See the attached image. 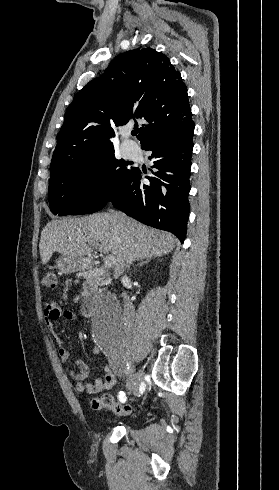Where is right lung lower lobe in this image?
I'll list each match as a JSON object with an SVG mask.
<instances>
[{"mask_svg":"<svg viewBox=\"0 0 279 490\" xmlns=\"http://www.w3.org/2000/svg\"><path fill=\"white\" fill-rule=\"evenodd\" d=\"M194 123L146 142L142 149L152 151L155 177H146L136 168L110 199L113 205L134 219L176 235L186 237L190 204V165Z\"/></svg>","mask_w":279,"mask_h":490,"instance_id":"obj_1","label":"right lung lower lobe"}]
</instances>
